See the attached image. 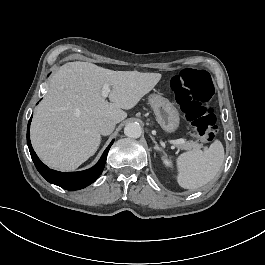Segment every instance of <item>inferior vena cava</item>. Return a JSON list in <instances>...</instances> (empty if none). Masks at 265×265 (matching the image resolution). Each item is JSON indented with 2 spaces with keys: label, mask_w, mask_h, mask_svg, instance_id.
Wrapping results in <instances>:
<instances>
[{
  "label": "inferior vena cava",
  "mask_w": 265,
  "mask_h": 265,
  "mask_svg": "<svg viewBox=\"0 0 265 265\" xmlns=\"http://www.w3.org/2000/svg\"><path fill=\"white\" fill-rule=\"evenodd\" d=\"M96 126L102 135H109L115 128V122L110 119H98Z\"/></svg>",
  "instance_id": "1"
}]
</instances>
